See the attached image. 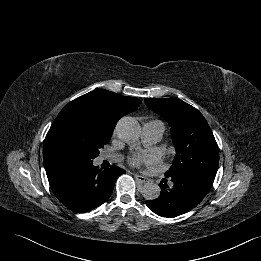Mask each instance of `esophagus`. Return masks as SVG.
I'll return each mask as SVG.
<instances>
[{"label": "esophagus", "mask_w": 261, "mask_h": 261, "mask_svg": "<svg viewBox=\"0 0 261 261\" xmlns=\"http://www.w3.org/2000/svg\"><path fill=\"white\" fill-rule=\"evenodd\" d=\"M134 177L136 178L137 181H139L140 183H147L150 181V179L148 177L139 175V174H134Z\"/></svg>", "instance_id": "1"}]
</instances>
